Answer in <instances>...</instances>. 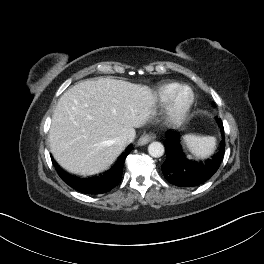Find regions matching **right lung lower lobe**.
<instances>
[{
    "mask_svg": "<svg viewBox=\"0 0 264 264\" xmlns=\"http://www.w3.org/2000/svg\"><path fill=\"white\" fill-rule=\"evenodd\" d=\"M131 150L132 148L130 145L111 169L106 171L103 175L89 179H79L71 176L63 172L54 160L53 164L60 178L75 190L86 194H102L110 191L120 182L125 158Z\"/></svg>",
    "mask_w": 264,
    "mask_h": 264,
    "instance_id": "right-lung-lower-lobe-1",
    "label": "right lung lower lobe"
}]
</instances>
